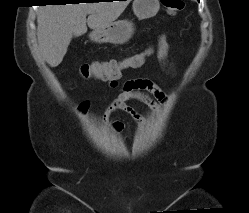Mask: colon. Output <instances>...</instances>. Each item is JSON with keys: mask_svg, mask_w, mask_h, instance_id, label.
Listing matches in <instances>:
<instances>
[{"mask_svg": "<svg viewBox=\"0 0 249 213\" xmlns=\"http://www.w3.org/2000/svg\"><path fill=\"white\" fill-rule=\"evenodd\" d=\"M161 4L170 14H177L184 8L183 0H161ZM151 51L146 50L135 54L134 62L150 55ZM131 62L125 60L111 59L108 61H94L83 63L78 67V72L83 78L112 79L120 75L121 70L128 68Z\"/></svg>", "mask_w": 249, "mask_h": 213, "instance_id": "colon-1", "label": "colon"}]
</instances>
